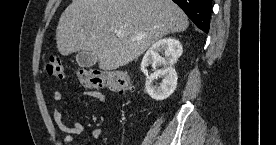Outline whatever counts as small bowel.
<instances>
[{
  "label": "small bowel",
  "mask_w": 276,
  "mask_h": 145,
  "mask_svg": "<svg viewBox=\"0 0 276 145\" xmlns=\"http://www.w3.org/2000/svg\"><path fill=\"white\" fill-rule=\"evenodd\" d=\"M84 95L100 101L103 104L107 103L106 96L99 91L83 92ZM63 94L60 91L53 93V100L56 103L53 110V120L56 126L64 133V142L72 144L73 136L84 132V126L78 121L67 122L64 118L60 103L62 102ZM103 135L101 128H92L88 131V136L93 139H99Z\"/></svg>",
  "instance_id": "c3829d8e"
}]
</instances>
